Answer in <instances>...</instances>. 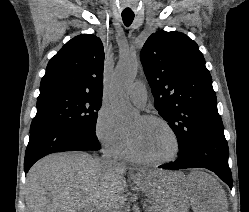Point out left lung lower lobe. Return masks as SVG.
Here are the masks:
<instances>
[{
    "label": "left lung lower lobe",
    "instance_id": "0a47b994",
    "mask_svg": "<svg viewBox=\"0 0 249 212\" xmlns=\"http://www.w3.org/2000/svg\"><path fill=\"white\" fill-rule=\"evenodd\" d=\"M229 149L223 131L205 133L192 140L179 152V158L162 169L206 168L213 171L232 188V174L228 165Z\"/></svg>",
    "mask_w": 249,
    "mask_h": 212
}]
</instances>
